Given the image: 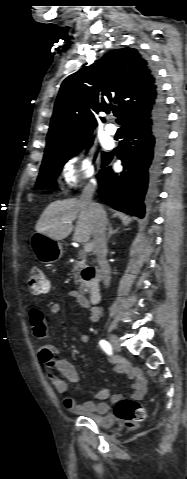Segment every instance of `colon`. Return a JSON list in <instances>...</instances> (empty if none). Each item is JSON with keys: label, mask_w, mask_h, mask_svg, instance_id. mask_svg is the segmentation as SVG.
I'll return each instance as SVG.
<instances>
[{"label": "colon", "mask_w": 187, "mask_h": 479, "mask_svg": "<svg viewBox=\"0 0 187 479\" xmlns=\"http://www.w3.org/2000/svg\"><path fill=\"white\" fill-rule=\"evenodd\" d=\"M27 290L32 295H41L48 291V279L41 269L34 267L29 270ZM114 415L132 429L144 420L145 411L137 401L123 398L116 403Z\"/></svg>", "instance_id": "colon-1"}]
</instances>
